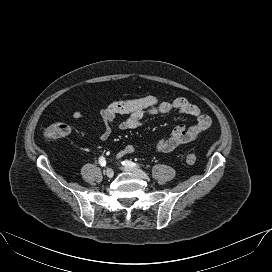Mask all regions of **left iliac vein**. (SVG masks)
I'll return each mask as SVG.
<instances>
[{
    "instance_id": "4c4485c4",
    "label": "left iliac vein",
    "mask_w": 272,
    "mask_h": 272,
    "mask_svg": "<svg viewBox=\"0 0 272 272\" xmlns=\"http://www.w3.org/2000/svg\"><path fill=\"white\" fill-rule=\"evenodd\" d=\"M122 170L127 171V172H131L137 176H139L142 179H148L149 176L147 173H145L144 171L137 169V168H130V167H123Z\"/></svg>"
}]
</instances>
